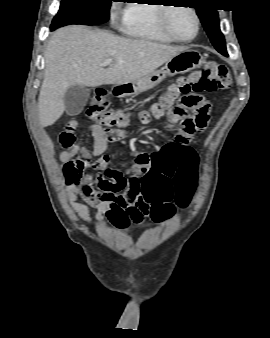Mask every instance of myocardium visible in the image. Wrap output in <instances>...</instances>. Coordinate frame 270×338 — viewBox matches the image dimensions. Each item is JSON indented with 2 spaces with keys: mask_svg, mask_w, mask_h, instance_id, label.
<instances>
[{
  "mask_svg": "<svg viewBox=\"0 0 270 338\" xmlns=\"http://www.w3.org/2000/svg\"><path fill=\"white\" fill-rule=\"evenodd\" d=\"M177 8H183V9H186V10L190 11L193 14L194 18H195V32H194V35L192 37H190V38H187V39L179 38V37H177L174 34V32L171 29L170 15ZM160 27L163 30V32L172 41L180 42V43H187V42L193 41L198 36L199 29H200V18L198 16L197 12L193 8L186 7L183 4L173 5L171 7H162L161 12H160Z\"/></svg>",
  "mask_w": 270,
  "mask_h": 338,
  "instance_id": "obj_1",
  "label": "myocardium"
}]
</instances>
